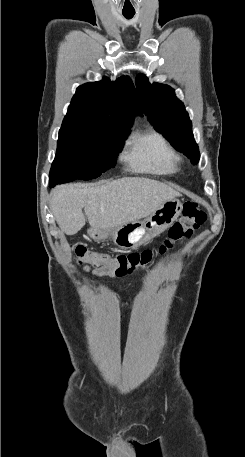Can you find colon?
<instances>
[{"label": "colon", "mask_w": 245, "mask_h": 457, "mask_svg": "<svg viewBox=\"0 0 245 457\" xmlns=\"http://www.w3.org/2000/svg\"><path fill=\"white\" fill-rule=\"evenodd\" d=\"M206 220L205 212L196 201L184 203L182 215L168 231V237L156 249L111 256L89 250L86 246L77 244L72 251L79 263H91L95 266L110 268L117 277L132 275L144 270L156 258L172 250L181 240L188 238L194 230Z\"/></svg>", "instance_id": "colon-1"}]
</instances>
